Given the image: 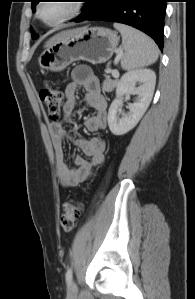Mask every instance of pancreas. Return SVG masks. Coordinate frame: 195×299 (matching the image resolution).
<instances>
[{"instance_id":"1","label":"pancreas","mask_w":195,"mask_h":299,"mask_svg":"<svg viewBox=\"0 0 195 299\" xmlns=\"http://www.w3.org/2000/svg\"><path fill=\"white\" fill-rule=\"evenodd\" d=\"M117 83H118L117 78L115 80H112L109 77H107L103 82L102 89L103 91L110 92L116 87Z\"/></svg>"}]
</instances>
